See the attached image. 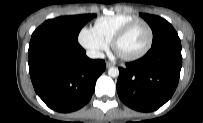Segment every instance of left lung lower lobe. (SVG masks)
I'll return each instance as SVG.
<instances>
[{"instance_id": "1", "label": "left lung lower lobe", "mask_w": 203, "mask_h": 123, "mask_svg": "<svg viewBox=\"0 0 203 123\" xmlns=\"http://www.w3.org/2000/svg\"><path fill=\"white\" fill-rule=\"evenodd\" d=\"M181 66L179 37L151 47L144 57L119 68L117 92L121 101L137 111L157 110L176 90Z\"/></svg>"}]
</instances>
